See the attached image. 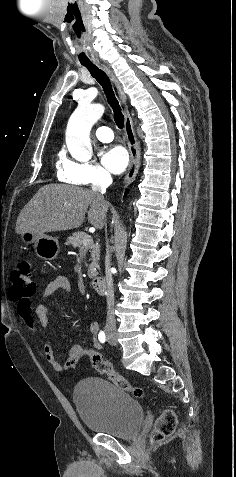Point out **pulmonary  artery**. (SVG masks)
<instances>
[{"mask_svg":"<svg viewBox=\"0 0 236 477\" xmlns=\"http://www.w3.org/2000/svg\"><path fill=\"white\" fill-rule=\"evenodd\" d=\"M94 133L97 139L101 142H111L114 138L112 130L105 126L98 127Z\"/></svg>","mask_w":236,"mask_h":477,"instance_id":"1","label":"pulmonary artery"}]
</instances>
